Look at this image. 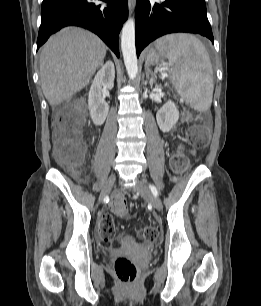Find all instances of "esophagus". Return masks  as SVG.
<instances>
[{
    "label": "esophagus",
    "mask_w": 261,
    "mask_h": 306,
    "mask_svg": "<svg viewBox=\"0 0 261 306\" xmlns=\"http://www.w3.org/2000/svg\"><path fill=\"white\" fill-rule=\"evenodd\" d=\"M136 0H129L128 1V8L129 12L132 13L135 8Z\"/></svg>",
    "instance_id": "34e87169"
}]
</instances>
